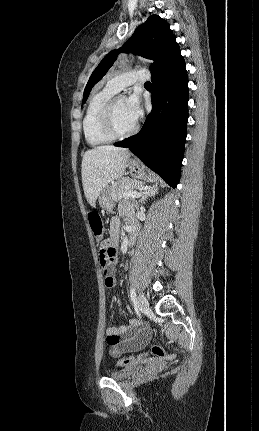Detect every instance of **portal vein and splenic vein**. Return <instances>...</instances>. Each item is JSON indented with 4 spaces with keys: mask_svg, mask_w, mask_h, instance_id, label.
<instances>
[{
    "mask_svg": "<svg viewBox=\"0 0 259 431\" xmlns=\"http://www.w3.org/2000/svg\"><path fill=\"white\" fill-rule=\"evenodd\" d=\"M143 193L142 192H137V191H128L123 193V197L125 198H135V197H140Z\"/></svg>",
    "mask_w": 259,
    "mask_h": 431,
    "instance_id": "18ae733b",
    "label": "portal vein and splenic vein"
}]
</instances>
